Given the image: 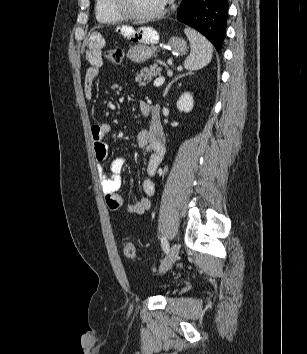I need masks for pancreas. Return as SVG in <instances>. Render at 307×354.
I'll return each instance as SVG.
<instances>
[{"label":"pancreas","instance_id":"obj_1","mask_svg":"<svg viewBox=\"0 0 307 354\" xmlns=\"http://www.w3.org/2000/svg\"><path fill=\"white\" fill-rule=\"evenodd\" d=\"M162 68L158 65H151L149 68L145 67L137 72L135 75V81L139 82V85H146L150 83L158 75H161Z\"/></svg>","mask_w":307,"mask_h":354}]
</instances>
